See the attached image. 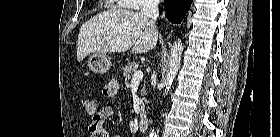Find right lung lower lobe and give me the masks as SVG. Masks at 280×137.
<instances>
[{"label": "right lung lower lobe", "mask_w": 280, "mask_h": 137, "mask_svg": "<svg viewBox=\"0 0 280 137\" xmlns=\"http://www.w3.org/2000/svg\"><path fill=\"white\" fill-rule=\"evenodd\" d=\"M193 0H164L165 8L168 9L166 17L172 23H180L188 12Z\"/></svg>", "instance_id": "1"}]
</instances>
